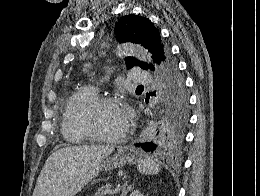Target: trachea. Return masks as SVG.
Masks as SVG:
<instances>
[{"mask_svg":"<svg viewBox=\"0 0 260 196\" xmlns=\"http://www.w3.org/2000/svg\"><path fill=\"white\" fill-rule=\"evenodd\" d=\"M137 88H144V86L143 85H138Z\"/></svg>","mask_w":260,"mask_h":196,"instance_id":"trachea-1","label":"trachea"}]
</instances>
